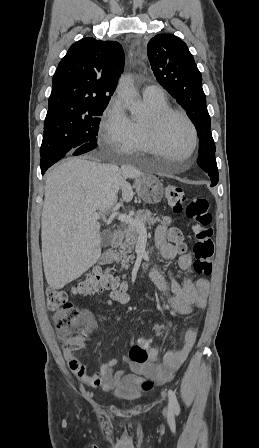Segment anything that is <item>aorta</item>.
<instances>
[{
    "instance_id": "obj_1",
    "label": "aorta",
    "mask_w": 259,
    "mask_h": 448,
    "mask_svg": "<svg viewBox=\"0 0 259 448\" xmlns=\"http://www.w3.org/2000/svg\"><path fill=\"white\" fill-rule=\"evenodd\" d=\"M118 97L123 101L132 115L136 116L141 110L138 102V93L133 87L132 81L128 76H122L117 85Z\"/></svg>"
}]
</instances>
